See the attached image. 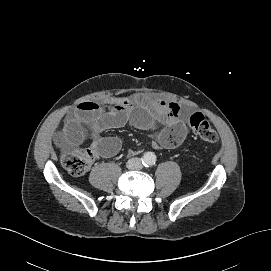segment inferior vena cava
Segmentation results:
<instances>
[{"label": "inferior vena cava", "instance_id": "1", "mask_svg": "<svg viewBox=\"0 0 271 271\" xmlns=\"http://www.w3.org/2000/svg\"><path fill=\"white\" fill-rule=\"evenodd\" d=\"M127 167L132 170L140 169L142 167L141 159L137 157L129 159L127 162Z\"/></svg>", "mask_w": 271, "mask_h": 271}]
</instances>
